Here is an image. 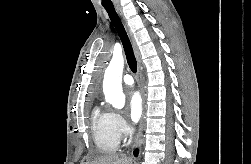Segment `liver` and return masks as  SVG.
Here are the masks:
<instances>
[{
	"label": "liver",
	"mask_w": 251,
	"mask_h": 164,
	"mask_svg": "<svg viewBox=\"0 0 251 164\" xmlns=\"http://www.w3.org/2000/svg\"><path fill=\"white\" fill-rule=\"evenodd\" d=\"M90 164H130V161L127 157L123 155H106L98 157Z\"/></svg>",
	"instance_id": "6515ba94"
}]
</instances>
